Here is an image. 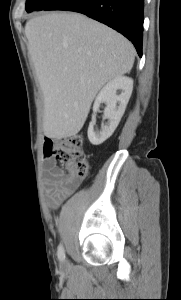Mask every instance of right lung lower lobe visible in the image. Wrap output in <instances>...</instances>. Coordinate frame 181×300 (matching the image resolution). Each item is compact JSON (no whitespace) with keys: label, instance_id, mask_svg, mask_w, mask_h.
Segmentation results:
<instances>
[{"label":"right lung lower lobe","instance_id":"obj_1","mask_svg":"<svg viewBox=\"0 0 181 300\" xmlns=\"http://www.w3.org/2000/svg\"><path fill=\"white\" fill-rule=\"evenodd\" d=\"M43 10L83 13L123 34L142 56L144 0H55Z\"/></svg>","mask_w":181,"mask_h":300}]
</instances>
